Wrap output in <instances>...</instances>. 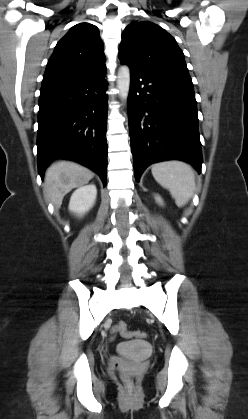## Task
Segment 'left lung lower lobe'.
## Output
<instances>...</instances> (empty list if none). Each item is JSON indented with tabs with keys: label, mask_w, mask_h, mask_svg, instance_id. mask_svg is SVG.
<instances>
[{
	"label": "left lung lower lobe",
	"mask_w": 248,
	"mask_h": 419,
	"mask_svg": "<svg viewBox=\"0 0 248 419\" xmlns=\"http://www.w3.org/2000/svg\"><path fill=\"white\" fill-rule=\"evenodd\" d=\"M129 132L135 178L152 163L178 159L201 171L193 86L130 67Z\"/></svg>",
	"instance_id": "obj_1"
}]
</instances>
